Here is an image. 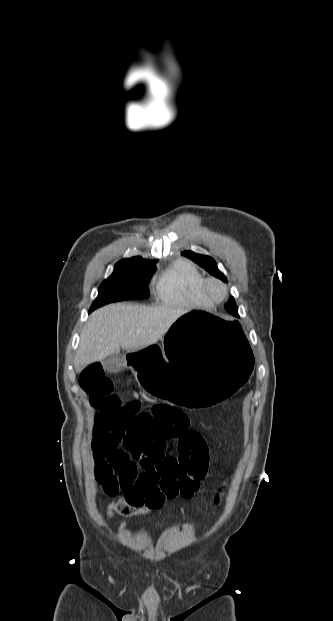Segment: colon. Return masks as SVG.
<instances>
[{
    "label": "colon",
    "mask_w": 333,
    "mask_h": 621,
    "mask_svg": "<svg viewBox=\"0 0 333 621\" xmlns=\"http://www.w3.org/2000/svg\"><path fill=\"white\" fill-rule=\"evenodd\" d=\"M95 476L97 481L102 484L104 491L110 496H115L119 490L127 489L133 484L137 476V468L132 461H127L125 467L120 470L102 464L96 469ZM149 510L151 509L133 508L121 498L109 505L108 514L112 516L114 511H117L123 515L131 516L146 513Z\"/></svg>",
    "instance_id": "1"
}]
</instances>
